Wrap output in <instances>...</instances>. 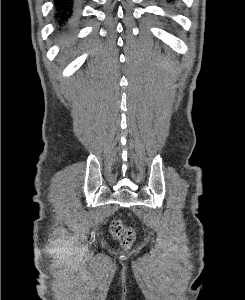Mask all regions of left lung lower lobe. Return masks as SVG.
Instances as JSON below:
<instances>
[{"label": "left lung lower lobe", "mask_w": 245, "mask_h": 300, "mask_svg": "<svg viewBox=\"0 0 245 300\" xmlns=\"http://www.w3.org/2000/svg\"><path fill=\"white\" fill-rule=\"evenodd\" d=\"M170 2H173V1H175V0H169Z\"/></svg>", "instance_id": "obj_1"}]
</instances>
